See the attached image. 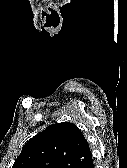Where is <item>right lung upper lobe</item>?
<instances>
[{
  "instance_id": "1",
  "label": "right lung upper lobe",
  "mask_w": 127,
  "mask_h": 168,
  "mask_svg": "<svg viewBox=\"0 0 127 168\" xmlns=\"http://www.w3.org/2000/svg\"><path fill=\"white\" fill-rule=\"evenodd\" d=\"M90 158L88 142L77 126L56 123L23 146L12 168H75Z\"/></svg>"
}]
</instances>
